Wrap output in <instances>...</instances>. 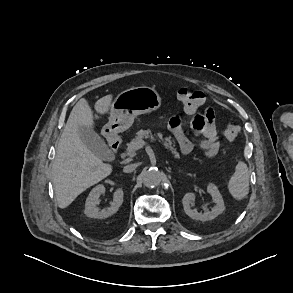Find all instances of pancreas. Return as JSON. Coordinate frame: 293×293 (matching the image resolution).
<instances>
[{"label":"pancreas","mask_w":293,"mask_h":293,"mask_svg":"<svg viewBox=\"0 0 293 293\" xmlns=\"http://www.w3.org/2000/svg\"><path fill=\"white\" fill-rule=\"evenodd\" d=\"M150 140L152 142L158 140L159 142H163V146L168 149L175 159H179L180 155L177 149L175 148L174 142L170 137L163 138L162 134L155 135L152 133L150 129L140 130L137 132V136H135L130 143L127 144V155L133 157L136 155V145L139 141Z\"/></svg>","instance_id":"obj_1"}]
</instances>
